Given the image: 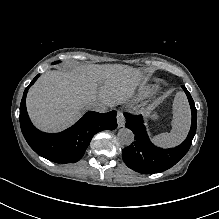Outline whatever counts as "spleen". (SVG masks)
I'll use <instances>...</instances> for the list:
<instances>
[{"label":"spleen","mask_w":219,"mask_h":219,"mask_svg":"<svg viewBox=\"0 0 219 219\" xmlns=\"http://www.w3.org/2000/svg\"><path fill=\"white\" fill-rule=\"evenodd\" d=\"M173 118L170 133H162L151 138V142L162 149H172L181 145L191 127V110L184 91L176 92L172 104Z\"/></svg>","instance_id":"spleen-1"}]
</instances>
